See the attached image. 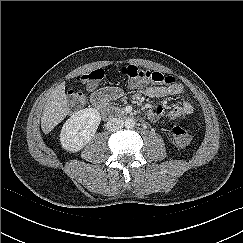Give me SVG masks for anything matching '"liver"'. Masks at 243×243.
Here are the masks:
<instances>
[{"label":"liver","mask_w":243,"mask_h":243,"mask_svg":"<svg viewBox=\"0 0 243 243\" xmlns=\"http://www.w3.org/2000/svg\"><path fill=\"white\" fill-rule=\"evenodd\" d=\"M64 84L57 85L47 96L41 115V129L44 134H49L68 114Z\"/></svg>","instance_id":"liver-1"}]
</instances>
